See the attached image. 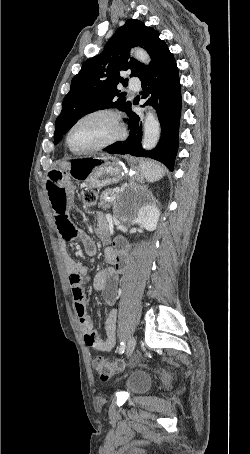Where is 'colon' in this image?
Segmentation results:
<instances>
[{"label":"colon","mask_w":250,"mask_h":454,"mask_svg":"<svg viewBox=\"0 0 250 454\" xmlns=\"http://www.w3.org/2000/svg\"><path fill=\"white\" fill-rule=\"evenodd\" d=\"M97 194L90 188H85L82 191V202L86 206H92L96 203ZM93 366L102 380L109 379L117 371L123 368L121 361H113L101 356H96L93 360Z\"/></svg>","instance_id":"5ec220e1"}]
</instances>
